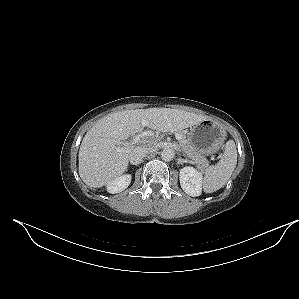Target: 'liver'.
I'll return each instance as SVG.
<instances>
[{"instance_id": "liver-1", "label": "liver", "mask_w": 299, "mask_h": 299, "mask_svg": "<svg viewBox=\"0 0 299 299\" xmlns=\"http://www.w3.org/2000/svg\"><path fill=\"white\" fill-rule=\"evenodd\" d=\"M206 119L204 115L169 108L125 110L104 116L81 142L79 175L89 187L107 185L126 171L129 154L134 148L120 147L114 141H124L141 132L145 126L161 132H177ZM118 148L122 150L117 151Z\"/></svg>"}]
</instances>
